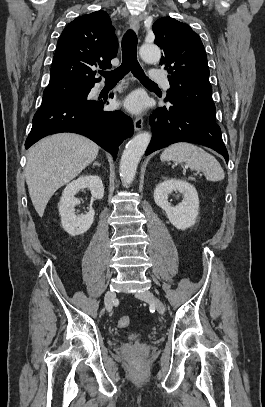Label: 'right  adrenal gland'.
Listing matches in <instances>:
<instances>
[{"mask_svg":"<svg viewBox=\"0 0 265 407\" xmlns=\"http://www.w3.org/2000/svg\"><path fill=\"white\" fill-rule=\"evenodd\" d=\"M95 166H99V167H100V164L96 161L95 163H93V167H95Z\"/></svg>","mask_w":265,"mask_h":407,"instance_id":"obj_1","label":"right adrenal gland"}]
</instances>
